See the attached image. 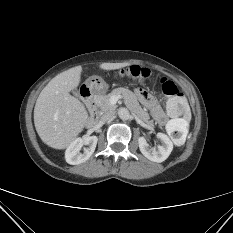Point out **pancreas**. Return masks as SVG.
Returning <instances> with one entry per match:
<instances>
[{
    "label": "pancreas",
    "instance_id": "cf45deb5",
    "mask_svg": "<svg viewBox=\"0 0 233 233\" xmlns=\"http://www.w3.org/2000/svg\"><path fill=\"white\" fill-rule=\"evenodd\" d=\"M120 95H122L125 98L126 104L132 108V111L139 119L146 122L147 124L153 125V121L150 120L149 114L146 112V110L141 108L135 94L132 91L125 88H116L107 95L97 96L96 105L99 108V111L101 113H104L107 111L114 110L116 106L110 103V99L112 96Z\"/></svg>",
    "mask_w": 233,
    "mask_h": 233
}]
</instances>
